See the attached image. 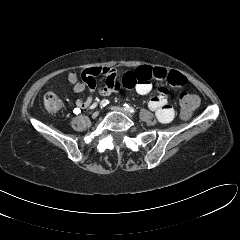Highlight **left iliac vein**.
I'll return each instance as SVG.
<instances>
[{
	"instance_id": "4c4485c4",
	"label": "left iliac vein",
	"mask_w": 240,
	"mask_h": 240,
	"mask_svg": "<svg viewBox=\"0 0 240 240\" xmlns=\"http://www.w3.org/2000/svg\"><path fill=\"white\" fill-rule=\"evenodd\" d=\"M110 109L113 110V111H116V112L123 113V114H125L126 116H128V117H130V118L133 117V115H132L129 111L125 110V109L122 108V107H119V106H111Z\"/></svg>"
}]
</instances>
